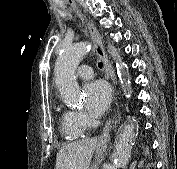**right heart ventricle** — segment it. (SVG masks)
<instances>
[{
  "label": "right heart ventricle",
  "instance_id": "obj_1",
  "mask_svg": "<svg viewBox=\"0 0 177 169\" xmlns=\"http://www.w3.org/2000/svg\"><path fill=\"white\" fill-rule=\"evenodd\" d=\"M61 130L67 139H78L83 136V130L78 128L69 110L63 111L61 115Z\"/></svg>",
  "mask_w": 177,
  "mask_h": 169
}]
</instances>
